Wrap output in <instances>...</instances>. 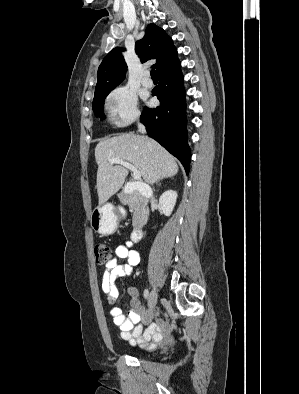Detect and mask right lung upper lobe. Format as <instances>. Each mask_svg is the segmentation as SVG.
Instances as JSON below:
<instances>
[{"instance_id":"cb5924a9","label":"right lung upper lobe","mask_w":299,"mask_h":394,"mask_svg":"<svg viewBox=\"0 0 299 394\" xmlns=\"http://www.w3.org/2000/svg\"><path fill=\"white\" fill-rule=\"evenodd\" d=\"M121 51L124 49L116 47L103 59L98 68L95 93L112 90L124 80L127 65ZM135 51L142 63L156 59L153 67L157 73L177 59L172 39L162 28L152 23L147 26L144 37L135 43Z\"/></svg>"}]
</instances>
